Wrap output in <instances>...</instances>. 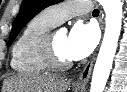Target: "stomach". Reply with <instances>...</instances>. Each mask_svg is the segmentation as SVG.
Returning <instances> with one entry per match:
<instances>
[{"instance_id":"1","label":"stomach","mask_w":127,"mask_h":92,"mask_svg":"<svg viewBox=\"0 0 127 92\" xmlns=\"http://www.w3.org/2000/svg\"><path fill=\"white\" fill-rule=\"evenodd\" d=\"M75 92H81V89H76Z\"/></svg>"}]
</instances>
